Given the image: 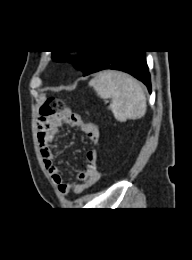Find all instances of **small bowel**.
Masks as SVG:
<instances>
[{
	"mask_svg": "<svg viewBox=\"0 0 192 260\" xmlns=\"http://www.w3.org/2000/svg\"><path fill=\"white\" fill-rule=\"evenodd\" d=\"M62 123H67L73 127H80L82 132L95 143L99 140V129L92 122H83L78 114L73 113L70 110H68L65 115L53 117L51 119H41L38 123V141L41 149V156L44 166L48 170L53 182L65 196H67L70 191L80 195L94 186L99 179L97 167L98 155L96 150H88L86 153L87 163L85 169L77 173L75 182H67L62 176L59 167L55 164V153L53 151V141Z\"/></svg>",
	"mask_w": 192,
	"mask_h": 260,
	"instance_id": "1",
	"label": "small bowel"
}]
</instances>
